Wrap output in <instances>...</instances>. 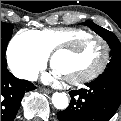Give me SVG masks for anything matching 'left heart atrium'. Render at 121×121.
<instances>
[{"label":"left heart atrium","mask_w":121,"mask_h":121,"mask_svg":"<svg viewBox=\"0 0 121 121\" xmlns=\"http://www.w3.org/2000/svg\"><path fill=\"white\" fill-rule=\"evenodd\" d=\"M55 75H58V73L55 71ZM50 79H51V77H50Z\"/></svg>","instance_id":"39dd6f15"}]
</instances>
